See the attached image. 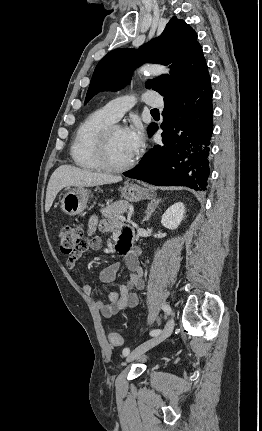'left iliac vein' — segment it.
I'll return each mask as SVG.
<instances>
[{
  "mask_svg": "<svg viewBox=\"0 0 262 431\" xmlns=\"http://www.w3.org/2000/svg\"><path fill=\"white\" fill-rule=\"evenodd\" d=\"M174 326H175L174 319L170 318L165 328L159 334L153 336L151 339L147 340L146 342L136 347L127 357V361L133 362L137 360L145 352L155 347L156 345L160 344L162 341H164L167 337L171 335V333L173 332Z\"/></svg>",
  "mask_w": 262,
  "mask_h": 431,
  "instance_id": "obj_1",
  "label": "left iliac vein"
}]
</instances>
